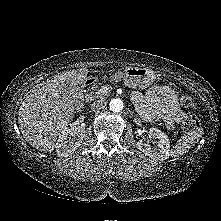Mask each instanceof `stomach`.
I'll return each instance as SVG.
<instances>
[{
    "label": "stomach",
    "mask_w": 221,
    "mask_h": 221,
    "mask_svg": "<svg viewBox=\"0 0 221 221\" xmlns=\"http://www.w3.org/2000/svg\"><path fill=\"white\" fill-rule=\"evenodd\" d=\"M123 79L125 85L132 88H146L150 86L154 79V72L146 68L127 67L124 73H116L114 80Z\"/></svg>",
    "instance_id": "0dacf381"
}]
</instances>
